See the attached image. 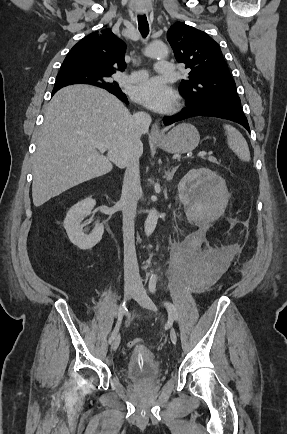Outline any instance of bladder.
Segmentation results:
<instances>
[{
    "mask_svg": "<svg viewBox=\"0 0 287 434\" xmlns=\"http://www.w3.org/2000/svg\"><path fill=\"white\" fill-rule=\"evenodd\" d=\"M120 375L127 381L152 382L160 377V365L152 353L134 352L120 370Z\"/></svg>",
    "mask_w": 287,
    "mask_h": 434,
    "instance_id": "31cf9c89",
    "label": "bladder"
}]
</instances>
